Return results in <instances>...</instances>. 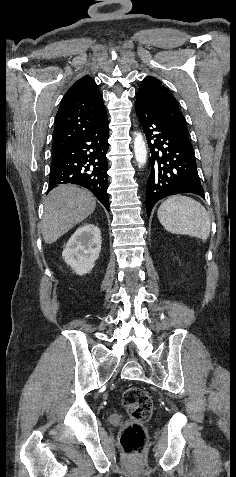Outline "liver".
I'll list each match as a JSON object with an SVG mask.
<instances>
[{
  "instance_id": "1",
  "label": "liver",
  "mask_w": 236,
  "mask_h": 477,
  "mask_svg": "<svg viewBox=\"0 0 236 477\" xmlns=\"http://www.w3.org/2000/svg\"><path fill=\"white\" fill-rule=\"evenodd\" d=\"M96 208L95 197L74 185H60L48 194L41 221L45 243L52 244L75 225L91 215Z\"/></svg>"
}]
</instances>
